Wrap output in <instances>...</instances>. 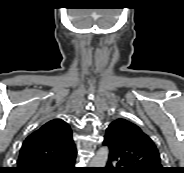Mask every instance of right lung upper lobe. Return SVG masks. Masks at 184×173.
I'll return each instance as SVG.
<instances>
[{
    "label": "right lung upper lobe",
    "mask_w": 184,
    "mask_h": 173,
    "mask_svg": "<svg viewBox=\"0 0 184 173\" xmlns=\"http://www.w3.org/2000/svg\"><path fill=\"white\" fill-rule=\"evenodd\" d=\"M74 152L70 126L62 119H53L26 138L15 171L43 166Z\"/></svg>",
    "instance_id": "1"
}]
</instances>
